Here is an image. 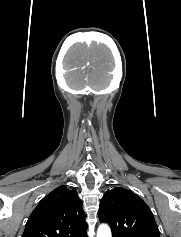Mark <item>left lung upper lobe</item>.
Returning a JSON list of instances; mask_svg holds the SVG:
<instances>
[{
	"mask_svg": "<svg viewBox=\"0 0 181 237\" xmlns=\"http://www.w3.org/2000/svg\"><path fill=\"white\" fill-rule=\"evenodd\" d=\"M98 217L111 226L113 237H160L148 205L131 190L122 187L105 192Z\"/></svg>",
	"mask_w": 181,
	"mask_h": 237,
	"instance_id": "left-lung-upper-lobe-1",
	"label": "left lung upper lobe"
}]
</instances>
